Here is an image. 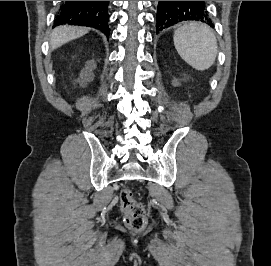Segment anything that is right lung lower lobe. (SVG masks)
I'll return each mask as SVG.
<instances>
[{
	"label": "right lung lower lobe",
	"instance_id": "1",
	"mask_svg": "<svg viewBox=\"0 0 271 266\" xmlns=\"http://www.w3.org/2000/svg\"><path fill=\"white\" fill-rule=\"evenodd\" d=\"M109 1H63L54 26L70 24L93 27L109 37Z\"/></svg>",
	"mask_w": 271,
	"mask_h": 266
}]
</instances>
